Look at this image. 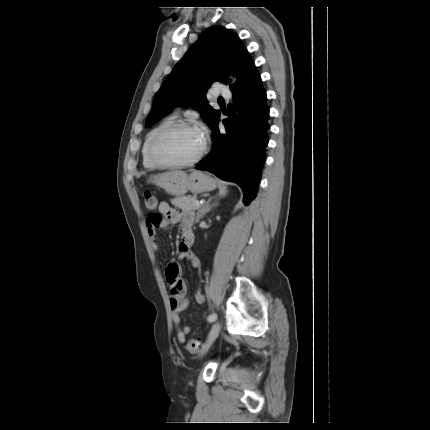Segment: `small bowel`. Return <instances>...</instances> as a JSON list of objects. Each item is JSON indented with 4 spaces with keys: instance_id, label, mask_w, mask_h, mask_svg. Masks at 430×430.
I'll return each mask as SVG.
<instances>
[{
    "instance_id": "c3829d8e",
    "label": "small bowel",
    "mask_w": 430,
    "mask_h": 430,
    "mask_svg": "<svg viewBox=\"0 0 430 430\" xmlns=\"http://www.w3.org/2000/svg\"><path fill=\"white\" fill-rule=\"evenodd\" d=\"M158 210L160 214L149 216L146 222L152 249L154 251L158 250L156 239V230L158 228H166L169 224H181L182 235L179 245V257L180 259L187 261L192 268H199L200 261L190 250L195 238L191 229V225L194 220L193 212L187 210H176L165 201L159 204ZM180 273L181 267L176 262L170 263L166 268V278L171 295L170 305L172 308V320L177 330L178 340L180 342H184L186 335L191 333V328L189 326L180 325V315L189 305V300L186 296V283L180 277ZM195 300L198 304L203 303L204 296L200 290L196 292Z\"/></svg>"
}]
</instances>
